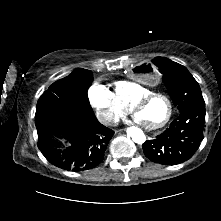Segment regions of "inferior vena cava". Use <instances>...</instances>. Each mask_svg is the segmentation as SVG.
Wrapping results in <instances>:
<instances>
[{
	"label": "inferior vena cava",
	"instance_id": "obj_1",
	"mask_svg": "<svg viewBox=\"0 0 221 221\" xmlns=\"http://www.w3.org/2000/svg\"><path fill=\"white\" fill-rule=\"evenodd\" d=\"M100 120L105 124L115 125L117 121L114 119V117L108 116V117H101Z\"/></svg>",
	"mask_w": 221,
	"mask_h": 221
}]
</instances>
